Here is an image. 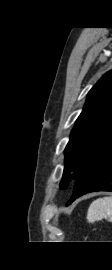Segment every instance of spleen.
<instances>
[{
  "mask_svg": "<svg viewBox=\"0 0 112 270\" xmlns=\"http://www.w3.org/2000/svg\"><path fill=\"white\" fill-rule=\"evenodd\" d=\"M106 217H108L109 222H112V197L96 199L88 209L87 221L89 223H94Z\"/></svg>",
  "mask_w": 112,
  "mask_h": 270,
  "instance_id": "3e777b00",
  "label": "spleen"
}]
</instances>
